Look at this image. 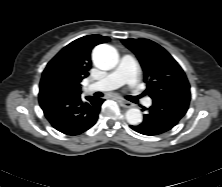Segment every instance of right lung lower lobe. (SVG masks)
I'll list each match as a JSON object with an SVG mask.
<instances>
[{"instance_id":"98d812e1","label":"right lung lower lobe","mask_w":222,"mask_h":187,"mask_svg":"<svg viewBox=\"0 0 222 187\" xmlns=\"http://www.w3.org/2000/svg\"><path fill=\"white\" fill-rule=\"evenodd\" d=\"M104 99L87 96L85 100L55 78L40 82L39 103L45 117L58 131L78 135L92 127Z\"/></svg>"}]
</instances>
